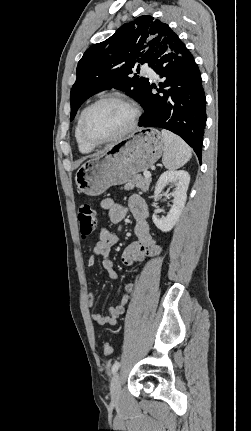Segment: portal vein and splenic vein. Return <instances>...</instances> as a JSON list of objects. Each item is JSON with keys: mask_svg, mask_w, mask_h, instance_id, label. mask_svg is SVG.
<instances>
[{"mask_svg": "<svg viewBox=\"0 0 251 431\" xmlns=\"http://www.w3.org/2000/svg\"><path fill=\"white\" fill-rule=\"evenodd\" d=\"M144 177L150 178L151 177V173L150 172H144Z\"/></svg>", "mask_w": 251, "mask_h": 431, "instance_id": "18ae733b", "label": "portal vein and splenic vein"}]
</instances>
